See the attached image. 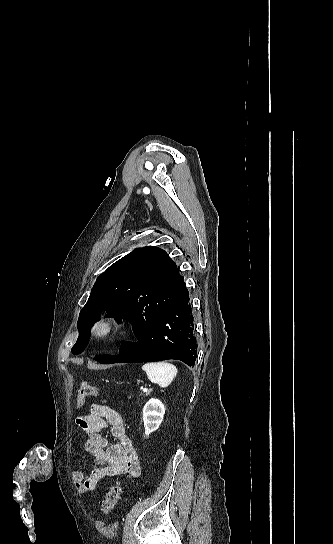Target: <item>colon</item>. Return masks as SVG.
<instances>
[{"label":"colon","instance_id":"obj_1","mask_svg":"<svg viewBox=\"0 0 333 544\" xmlns=\"http://www.w3.org/2000/svg\"><path fill=\"white\" fill-rule=\"evenodd\" d=\"M98 394L99 392L95 387L83 382L76 394V407H82L87 397H96ZM121 493L122 489L119 484L115 483L109 487L105 499L101 502V510L105 516H108L117 505Z\"/></svg>","mask_w":333,"mask_h":544}]
</instances>
